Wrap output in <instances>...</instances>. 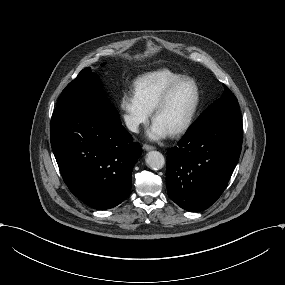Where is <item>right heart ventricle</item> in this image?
<instances>
[{
  "label": "right heart ventricle",
  "instance_id": "e07e8e85",
  "mask_svg": "<svg viewBox=\"0 0 285 285\" xmlns=\"http://www.w3.org/2000/svg\"><path fill=\"white\" fill-rule=\"evenodd\" d=\"M184 76L162 69L142 76L135 83V90L143 104L152 111L165 90Z\"/></svg>",
  "mask_w": 285,
  "mask_h": 285
}]
</instances>
